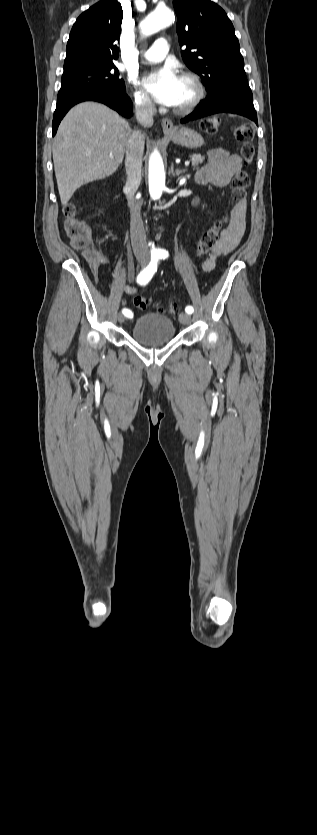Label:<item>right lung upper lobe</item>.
<instances>
[{
	"instance_id": "right-lung-upper-lobe-1",
	"label": "right lung upper lobe",
	"mask_w": 317,
	"mask_h": 835,
	"mask_svg": "<svg viewBox=\"0 0 317 835\" xmlns=\"http://www.w3.org/2000/svg\"><path fill=\"white\" fill-rule=\"evenodd\" d=\"M123 11L115 0H102L83 12L74 23L67 43L66 62L114 63Z\"/></svg>"
}]
</instances>
